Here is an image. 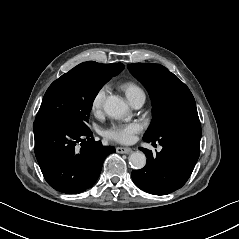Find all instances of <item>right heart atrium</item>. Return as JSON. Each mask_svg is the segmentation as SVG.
<instances>
[{"mask_svg": "<svg viewBox=\"0 0 239 239\" xmlns=\"http://www.w3.org/2000/svg\"><path fill=\"white\" fill-rule=\"evenodd\" d=\"M107 91H108L107 85H103L95 91V93L92 96L90 104L92 112L99 111L100 109L103 108L104 99Z\"/></svg>", "mask_w": 239, "mask_h": 239, "instance_id": "obj_1", "label": "right heart atrium"}]
</instances>
